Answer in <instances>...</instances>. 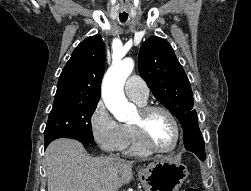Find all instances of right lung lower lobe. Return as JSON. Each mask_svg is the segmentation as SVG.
Returning a JSON list of instances; mask_svg holds the SVG:
<instances>
[{
    "mask_svg": "<svg viewBox=\"0 0 251 191\" xmlns=\"http://www.w3.org/2000/svg\"><path fill=\"white\" fill-rule=\"evenodd\" d=\"M73 139H76L78 141H80L81 143L85 144V145H89V144H94V143H91V142H88V141H85V140H82V139H79V138H73ZM48 145H45L44 149H46Z\"/></svg>",
    "mask_w": 251,
    "mask_h": 191,
    "instance_id": "obj_1",
    "label": "right lung lower lobe"
}]
</instances>
